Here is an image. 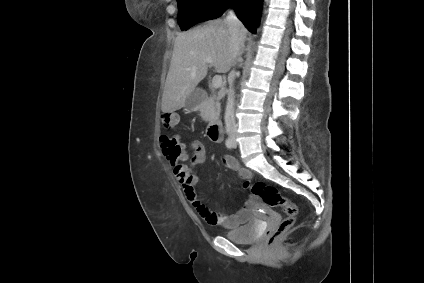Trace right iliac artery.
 Returning a JSON list of instances; mask_svg holds the SVG:
<instances>
[{
	"instance_id": "82829eb1",
	"label": "right iliac artery",
	"mask_w": 424,
	"mask_h": 283,
	"mask_svg": "<svg viewBox=\"0 0 424 283\" xmlns=\"http://www.w3.org/2000/svg\"><path fill=\"white\" fill-rule=\"evenodd\" d=\"M225 145H226V147L228 149H231L232 148V142H231V140L230 139H226Z\"/></svg>"
}]
</instances>
